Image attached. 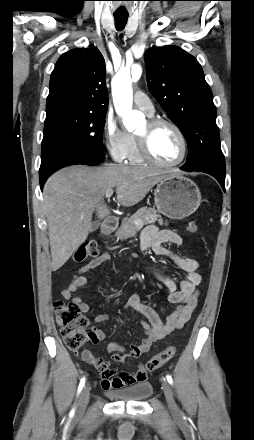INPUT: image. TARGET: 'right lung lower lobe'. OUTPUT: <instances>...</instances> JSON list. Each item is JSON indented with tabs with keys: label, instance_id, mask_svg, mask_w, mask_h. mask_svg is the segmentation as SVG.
<instances>
[{
	"label": "right lung lower lobe",
	"instance_id": "obj_1",
	"mask_svg": "<svg viewBox=\"0 0 254 440\" xmlns=\"http://www.w3.org/2000/svg\"><path fill=\"white\" fill-rule=\"evenodd\" d=\"M47 178H48V177H44V178H41V179H40V187H41V189L43 188L44 183H45V181L47 180Z\"/></svg>",
	"mask_w": 254,
	"mask_h": 440
}]
</instances>
